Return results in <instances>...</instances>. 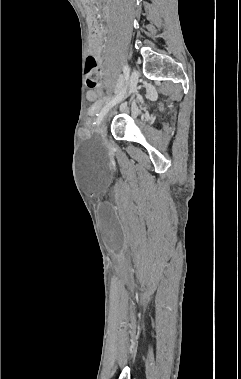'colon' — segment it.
Returning a JSON list of instances; mask_svg holds the SVG:
<instances>
[{
  "label": "colon",
  "mask_w": 241,
  "mask_h": 379,
  "mask_svg": "<svg viewBox=\"0 0 241 379\" xmlns=\"http://www.w3.org/2000/svg\"><path fill=\"white\" fill-rule=\"evenodd\" d=\"M129 62L130 63H135L136 62V56L135 54H130L129 56ZM85 73H86V84L87 86H96L97 81L99 78V68L97 65V61L93 56H88L86 60V65H85ZM109 92V89L106 87H99L98 88V93L101 95H104Z\"/></svg>",
  "instance_id": "obj_1"
}]
</instances>
